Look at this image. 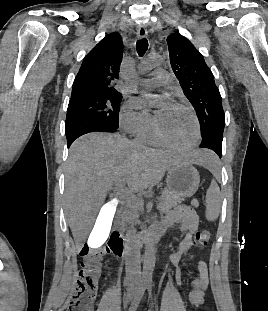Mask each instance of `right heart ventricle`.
<instances>
[{
  "label": "right heart ventricle",
  "instance_id": "1",
  "mask_svg": "<svg viewBox=\"0 0 268 311\" xmlns=\"http://www.w3.org/2000/svg\"><path fill=\"white\" fill-rule=\"evenodd\" d=\"M137 139L147 145H160L161 143L155 136L153 127L147 129L137 136Z\"/></svg>",
  "mask_w": 268,
  "mask_h": 311
}]
</instances>
